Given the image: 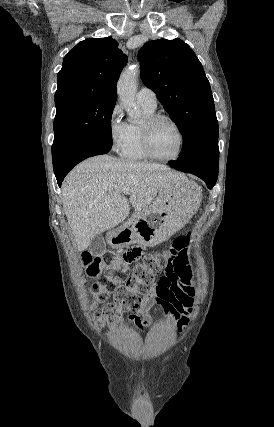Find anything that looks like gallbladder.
<instances>
[{
  "mask_svg": "<svg viewBox=\"0 0 274 427\" xmlns=\"http://www.w3.org/2000/svg\"><path fill=\"white\" fill-rule=\"evenodd\" d=\"M89 251L91 255H95V257H97V255H102V253H105L106 243L102 233H97V235H94V237H92L89 243Z\"/></svg>",
  "mask_w": 274,
  "mask_h": 427,
  "instance_id": "bac80fb5",
  "label": "gallbladder"
}]
</instances>
